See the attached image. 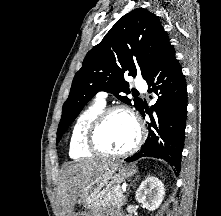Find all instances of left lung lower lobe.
<instances>
[{
	"label": "left lung lower lobe",
	"instance_id": "1",
	"mask_svg": "<svg viewBox=\"0 0 221 216\" xmlns=\"http://www.w3.org/2000/svg\"><path fill=\"white\" fill-rule=\"evenodd\" d=\"M146 82L148 92H154L158 99L150 111L149 134L141 149L125 159L135 161L141 157L164 159L179 172L184 146L187 88L184 75L173 46L168 42L162 49L155 64L150 68ZM144 117V106L140 110Z\"/></svg>",
	"mask_w": 221,
	"mask_h": 216
}]
</instances>
